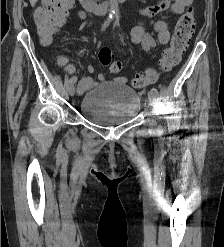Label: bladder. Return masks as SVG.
Returning a JSON list of instances; mask_svg holds the SVG:
<instances>
[{
  "instance_id": "1",
  "label": "bladder",
  "mask_w": 224,
  "mask_h": 247,
  "mask_svg": "<svg viewBox=\"0 0 224 247\" xmlns=\"http://www.w3.org/2000/svg\"><path fill=\"white\" fill-rule=\"evenodd\" d=\"M139 107V96L131 87L118 82H102L85 92L79 111L94 125L113 127L132 120Z\"/></svg>"
}]
</instances>
